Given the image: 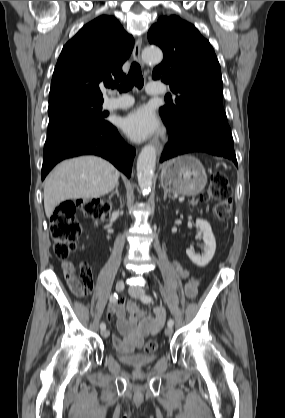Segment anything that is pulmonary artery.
Segmentation results:
<instances>
[{"label":"pulmonary artery","mask_w":285,"mask_h":418,"mask_svg":"<svg viewBox=\"0 0 285 418\" xmlns=\"http://www.w3.org/2000/svg\"><path fill=\"white\" fill-rule=\"evenodd\" d=\"M168 90L165 86L152 84L148 87L147 93L150 95L165 94ZM134 100L130 96L109 97L103 102L105 110H120L131 106Z\"/></svg>","instance_id":"e3ab8cb5"}]
</instances>
